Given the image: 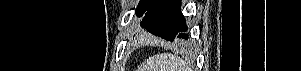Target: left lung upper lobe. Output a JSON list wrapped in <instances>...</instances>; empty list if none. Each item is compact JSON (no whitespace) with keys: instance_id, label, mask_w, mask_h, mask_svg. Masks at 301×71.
I'll return each mask as SVG.
<instances>
[{"instance_id":"left-lung-upper-lobe-1","label":"left lung upper lobe","mask_w":301,"mask_h":71,"mask_svg":"<svg viewBox=\"0 0 301 71\" xmlns=\"http://www.w3.org/2000/svg\"><path fill=\"white\" fill-rule=\"evenodd\" d=\"M160 0H140L137 8L136 15L140 18L150 11Z\"/></svg>"}]
</instances>
